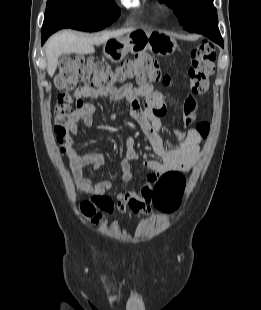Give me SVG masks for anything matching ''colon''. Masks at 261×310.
<instances>
[{"instance_id": "colon-1", "label": "colon", "mask_w": 261, "mask_h": 310, "mask_svg": "<svg viewBox=\"0 0 261 310\" xmlns=\"http://www.w3.org/2000/svg\"><path fill=\"white\" fill-rule=\"evenodd\" d=\"M215 60V49L209 43L201 42L193 49L188 79L191 90L195 94H202L207 90L208 79L214 71ZM127 79H134L140 84L162 81L166 86L173 85V80L169 75L161 74L157 60L146 54L127 60L114 68L80 55L63 58L55 77L57 88L62 90L54 108L55 133L59 142L66 133V122L72 110L73 100L69 94L71 89L79 82L105 88ZM196 129L203 137H207L210 125L207 122H200ZM185 186V177L180 172L165 173L152 192L153 204L166 211L177 209L181 204ZM112 210V200L104 195H93L81 203L82 213L94 222H98L103 213H110Z\"/></svg>"}]
</instances>
